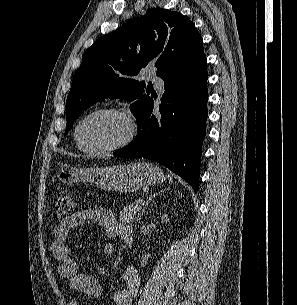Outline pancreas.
Wrapping results in <instances>:
<instances>
[{
    "label": "pancreas",
    "mask_w": 297,
    "mask_h": 305,
    "mask_svg": "<svg viewBox=\"0 0 297 305\" xmlns=\"http://www.w3.org/2000/svg\"><path fill=\"white\" fill-rule=\"evenodd\" d=\"M137 200L135 203L127 205L124 209L120 212L119 221L120 222H132L134 217L136 216L137 212L142 208L143 203L138 205Z\"/></svg>",
    "instance_id": "1"
}]
</instances>
